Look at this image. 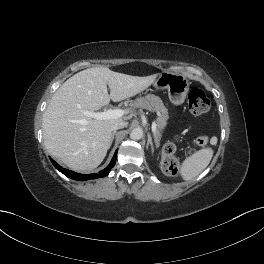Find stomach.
I'll return each instance as SVG.
<instances>
[{"label": "stomach", "instance_id": "obj_1", "mask_svg": "<svg viewBox=\"0 0 264 264\" xmlns=\"http://www.w3.org/2000/svg\"><path fill=\"white\" fill-rule=\"evenodd\" d=\"M154 85L159 89H167L169 100L174 105L182 104L189 91L188 79L179 73L162 72L158 75Z\"/></svg>", "mask_w": 264, "mask_h": 264}]
</instances>
